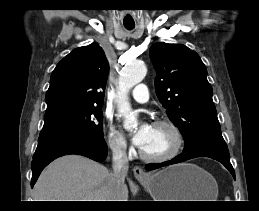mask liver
Instances as JSON below:
<instances>
[{"label":"liver","instance_id":"liver-1","mask_svg":"<svg viewBox=\"0 0 259 211\" xmlns=\"http://www.w3.org/2000/svg\"><path fill=\"white\" fill-rule=\"evenodd\" d=\"M109 170L89 158L67 155L50 163L38 178L34 201H108L110 199ZM120 201H128V188L118 190Z\"/></svg>","mask_w":259,"mask_h":211}]
</instances>
